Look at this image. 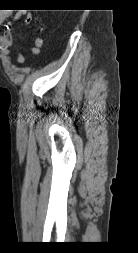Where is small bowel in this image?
<instances>
[{
	"label": "small bowel",
	"mask_w": 138,
	"mask_h": 253,
	"mask_svg": "<svg viewBox=\"0 0 138 253\" xmlns=\"http://www.w3.org/2000/svg\"><path fill=\"white\" fill-rule=\"evenodd\" d=\"M21 17H24V21L26 24H29L32 20V16L30 14H25L22 12H18L14 19L17 20ZM7 19L6 13H0V26L4 24ZM13 39L11 35V24L6 25L5 29L0 32V50L2 54L7 57L12 52ZM18 64H22L24 62V57L21 53H18L17 58Z\"/></svg>",
	"instance_id": "c3829d8e"
}]
</instances>
